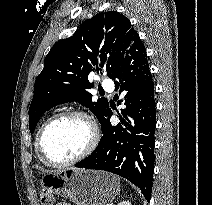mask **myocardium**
<instances>
[{
    "label": "myocardium",
    "mask_w": 212,
    "mask_h": 205,
    "mask_svg": "<svg viewBox=\"0 0 212 205\" xmlns=\"http://www.w3.org/2000/svg\"><path fill=\"white\" fill-rule=\"evenodd\" d=\"M71 117H77L83 119L87 125L89 126L90 129V140L85 147V149L78 154L77 156L66 160V161H55L51 159L48 154L45 151L44 148V137L48 131V129L56 122L59 120L65 119V118H71ZM100 139V133H99V128L95 121L91 118L89 114L83 111L79 110H70V111H64L61 113H58L54 115L52 118H50L41 128L38 138H37V149L38 152L44 162H46L49 165L56 166V167H64V166H69L72 164H75L86 157H88L97 147Z\"/></svg>",
    "instance_id": "myocardium-1"
}]
</instances>
